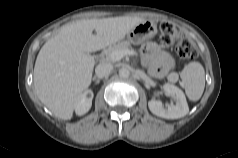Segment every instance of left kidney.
<instances>
[{
    "label": "left kidney",
    "mask_w": 238,
    "mask_h": 158,
    "mask_svg": "<svg viewBox=\"0 0 238 158\" xmlns=\"http://www.w3.org/2000/svg\"><path fill=\"white\" fill-rule=\"evenodd\" d=\"M163 90L176 100V104H170L165 108L161 101L150 100L148 102L150 111L154 115L165 119H178L184 117L189 112V107L183 91L177 86L169 83L163 85Z\"/></svg>",
    "instance_id": "5707ae66"
}]
</instances>
